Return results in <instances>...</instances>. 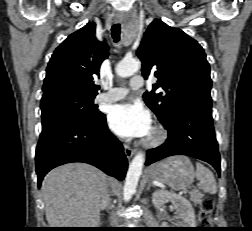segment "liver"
<instances>
[{
  "instance_id": "6515ba94",
  "label": "liver",
  "mask_w": 252,
  "mask_h": 231,
  "mask_svg": "<svg viewBox=\"0 0 252 231\" xmlns=\"http://www.w3.org/2000/svg\"><path fill=\"white\" fill-rule=\"evenodd\" d=\"M107 177L84 163H70L50 171L41 186L50 228H95Z\"/></svg>"
}]
</instances>
